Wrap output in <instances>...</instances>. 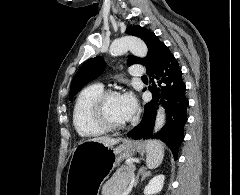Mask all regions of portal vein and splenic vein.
<instances>
[{
    "label": "portal vein and splenic vein",
    "mask_w": 240,
    "mask_h": 195,
    "mask_svg": "<svg viewBox=\"0 0 240 195\" xmlns=\"http://www.w3.org/2000/svg\"><path fill=\"white\" fill-rule=\"evenodd\" d=\"M130 180H131V179H130ZM132 181H133V175H132ZM120 192H121V193H116V195H123V193H122L123 191L121 190Z\"/></svg>",
    "instance_id": "obj_1"
}]
</instances>
